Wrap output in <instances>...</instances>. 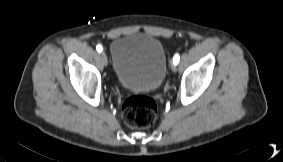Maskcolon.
I'll return each instance as SVG.
<instances>
[{"mask_svg": "<svg viewBox=\"0 0 283 162\" xmlns=\"http://www.w3.org/2000/svg\"><path fill=\"white\" fill-rule=\"evenodd\" d=\"M157 111V102L153 97L134 95L124 102L122 117L129 127L145 129L154 123Z\"/></svg>", "mask_w": 283, "mask_h": 162, "instance_id": "1", "label": "colon"}]
</instances>
